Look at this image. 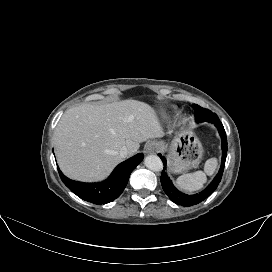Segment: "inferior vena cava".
<instances>
[{"label": "inferior vena cava", "mask_w": 272, "mask_h": 272, "mask_svg": "<svg viewBox=\"0 0 272 272\" xmlns=\"http://www.w3.org/2000/svg\"><path fill=\"white\" fill-rule=\"evenodd\" d=\"M119 155L121 158H126L129 155V151L127 149V147H122L119 151Z\"/></svg>", "instance_id": "inferior-vena-cava-1"}]
</instances>
